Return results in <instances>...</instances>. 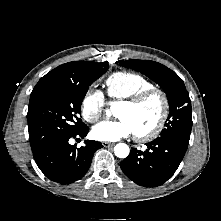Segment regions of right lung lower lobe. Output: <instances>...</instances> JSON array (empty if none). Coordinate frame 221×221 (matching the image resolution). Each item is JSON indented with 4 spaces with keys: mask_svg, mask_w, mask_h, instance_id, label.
Returning <instances> with one entry per match:
<instances>
[{
    "mask_svg": "<svg viewBox=\"0 0 221 221\" xmlns=\"http://www.w3.org/2000/svg\"><path fill=\"white\" fill-rule=\"evenodd\" d=\"M88 133L85 125L77 132L55 137L32 150L35 162L43 174L60 184H70L82 178L88 171L92 156L102 147L101 142L85 140V146L71 145V138H84Z\"/></svg>",
    "mask_w": 221,
    "mask_h": 221,
    "instance_id": "obj_1",
    "label": "right lung lower lobe"
}]
</instances>
